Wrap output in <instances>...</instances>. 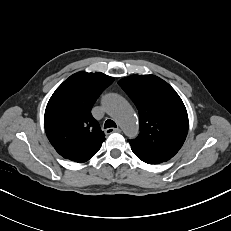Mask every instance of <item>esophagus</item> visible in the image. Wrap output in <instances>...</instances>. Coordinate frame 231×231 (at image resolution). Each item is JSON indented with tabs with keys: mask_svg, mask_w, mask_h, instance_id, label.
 <instances>
[{
	"mask_svg": "<svg viewBox=\"0 0 231 231\" xmlns=\"http://www.w3.org/2000/svg\"><path fill=\"white\" fill-rule=\"evenodd\" d=\"M113 132H120V129H119V128H107V129L105 130V133H106V134H111V133H113Z\"/></svg>",
	"mask_w": 231,
	"mask_h": 231,
	"instance_id": "esophagus-1",
	"label": "esophagus"
}]
</instances>
